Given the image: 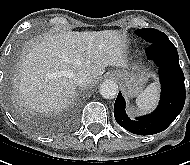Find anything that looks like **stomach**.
<instances>
[{
    "label": "stomach",
    "instance_id": "stomach-1",
    "mask_svg": "<svg viewBox=\"0 0 190 165\" xmlns=\"http://www.w3.org/2000/svg\"><path fill=\"white\" fill-rule=\"evenodd\" d=\"M113 75L119 80L126 94L130 97L141 93L150 78V73L142 69L116 70Z\"/></svg>",
    "mask_w": 190,
    "mask_h": 165
}]
</instances>
